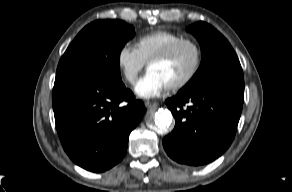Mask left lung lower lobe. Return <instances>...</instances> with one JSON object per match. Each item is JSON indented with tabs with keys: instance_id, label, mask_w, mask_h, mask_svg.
<instances>
[{
	"instance_id": "1",
	"label": "left lung lower lobe",
	"mask_w": 292,
	"mask_h": 192,
	"mask_svg": "<svg viewBox=\"0 0 292 192\" xmlns=\"http://www.w3.org/2000/svg\"><path fill=\"white\" fill-rule=\"evenodd\" d=\"M244 101V84L221 83L167 99L175 128L163 139L166 153L181 164L199 166L221 156L232 143ZM190 104L183 109L185 104Z\"/></svg>"
}]
</instances>
